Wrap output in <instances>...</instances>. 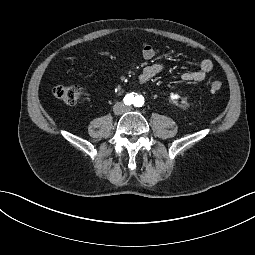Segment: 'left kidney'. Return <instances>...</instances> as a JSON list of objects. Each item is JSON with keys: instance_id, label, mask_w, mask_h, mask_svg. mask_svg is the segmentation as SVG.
<instances>
[{"instance_id": "left-kidney-1", "label": "left kidney", "mask_w": 255, "mask_h": 255, "mask_svg": "<svg viewBox=\"0 0 255 255\" xmlns=\"http://www.w3.org/2000/svg\"><path fill=\"white\" fill-rule=\"evenodd\" d=\"M170 97H171V100H172L175 104L178 105V103H177L176 100L179 99L180 96H179L178 94L171 93ZM181 106H182V107L185 106V101H184V100H182Z\"/></svg>"}]
</instances>
